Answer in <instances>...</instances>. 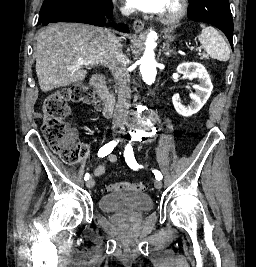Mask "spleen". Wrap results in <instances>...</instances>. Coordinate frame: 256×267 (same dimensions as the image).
Masks as SVG:
<instances>
[{
  "label": "spleen",
  "mask_w": 256,
  "mask_h": 267,
  "mask_svg": "<svg viewBox=\"0 0 256 267\" xmlns=\"http://www.w3.org/2000/svg\"><path fill=\"white\" fill-rule=\"evenodd\" d=\"M200 26L203 30L201 34H199L198 40L208 56L214 58V60H219V62H228L230 58V48L227 46L218 30L211 28V26L206 28L205 24H200Z\"/></svg>",
  "instance_id": "1"
}]
</instances>
